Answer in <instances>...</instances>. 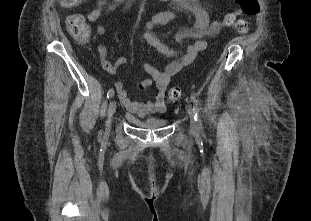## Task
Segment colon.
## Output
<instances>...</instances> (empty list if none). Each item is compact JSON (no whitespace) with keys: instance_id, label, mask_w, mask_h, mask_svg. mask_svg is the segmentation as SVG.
Wrapping results in <instances>:
<instances>
[{"instance_id":"1","label":"colon","mask_w":311,"mask_h":221,"mask_svg":"<svg viewBox=\"0 0 311 221\" xmlns=\"http://www.w3.org/2000/svg\"><path fill=\"white\" fill-rule=\"evenodd\" d=\"M83 0H66L60 1V8H74L75 4H82ZM238 3L241 7L242 12L246 16H253L260 10V1L259 0H238ZM238 13H229L224 21L223 25L229 26L232 23V18H235ZM239 26H235V29L238 32L246 31L249 20L246 18L245 20L239 21ZM66 29L70 33V35L80 43H86L90 37V25L88 21L81 14H70L67 16L65 20ZM182 95L181 87H172L168 90L166 94V101L174 102L178 100Z\"/></svg>"}]
</instances>
